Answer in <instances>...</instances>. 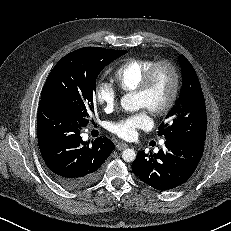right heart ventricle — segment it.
Masks as SVG:
<instances>
[{"label": "right heart ventricle", "instance_id": "right-heart-ventricle-1", "mask_svg": "<svg viewBox=\"0 0 231 231\" xmlns=\"http://www.w3.org/2000/svg\"><path fill=\"white\" fill-rule=\"evenodd\" d=\"M155 63L153 59H130L119 66L113 78L122 92H133L139 86L146 71Z\"/></svg>", "mask_w": 231, "mask_h": 231}]
</instances>
